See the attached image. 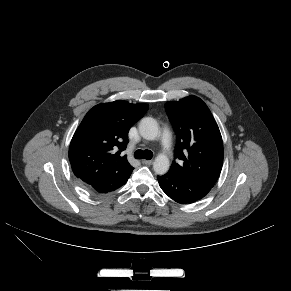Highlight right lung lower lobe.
Here are the masks:
<instances>
[{"mask_svg":"<svg viewBox=\"0 0 291 291\" xmlns=\"http://www.w3.org/2000/svg\"><path fill=\"white\" fill-rule=\"evenodd\" d=\"M129 176L121 177L118 172L111 170L105 174L99 175L88 183L82 184L91 194H106L124 185Z\"/></svg>","mask_w":291,"mask_h":291,"instance_id":"obj_1","label":"right lung lower lobe"}]
</instances>
